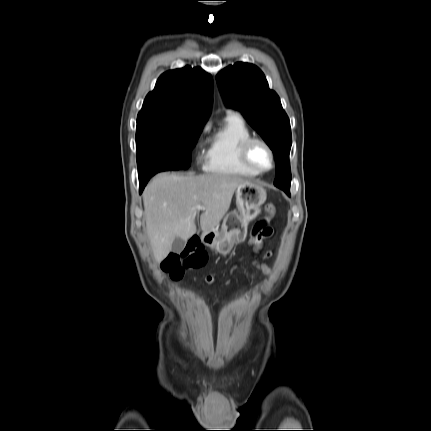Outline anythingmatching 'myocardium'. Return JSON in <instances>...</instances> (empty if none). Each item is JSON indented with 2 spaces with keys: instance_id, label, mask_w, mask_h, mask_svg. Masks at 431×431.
I'll return each mask as SVG.
<instances>
[{
  "instance_id": "f54148a6",
  "label": "myocardium",
  "mask_w": 431,
  "mask_h": 431,
  "mask_svg": "<svg viewBox=\"0 0 431 431\" xmlns=\"http://www.w3.org/2000/svg\"><path fill=\"white\" fill-rule=\"evenodd\" d=\"M256 143L263 145L270 154L271 164L268 168H259L250 159L251 147ZM240 159L246 167H248L249 169L253 170L254 172H256L258 174L267 173V172L273 170L275 167L274 150L272 149V147L270 146V144L266 140L259 138V137H250L242 143V145L240 147Z\"/></svg>"
}]
</instances>
